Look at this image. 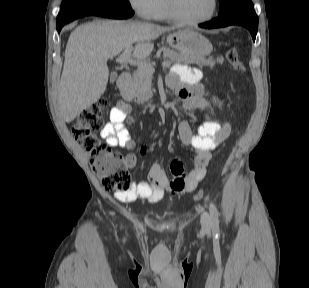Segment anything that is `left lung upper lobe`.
<instances>
[{
	"mask_svg": "<svg viewBox=\"0 0 309 288\" xmlns=\"http://www.w3.org/2000/svg\"><path fill=\"white\" fill-rule=\"evenodd\" d=\"M220 12L219 16L228 15L242 7L252 5L250 0H219Z\"/></svg>",
	"mask_w": 309,
	"mask_h": 288,
	"instance_id": "left-lung-upper-lobe-1",
	"label": "left lung upper lobe"
}]
</instances>
